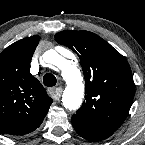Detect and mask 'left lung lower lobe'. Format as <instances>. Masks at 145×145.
<instances>
[{
  "label": "left lung lower lobe",
  "instance_id": "1",
  "mask_svg": "<svg viewBox=\"0 0 145 145\" xmlns=\"http://www.w3.org/2000/svg\"><path fill=\"white\" fill-rule=\"evenodd\" d=\"M72 124L76 132L81 137L89 141H101L110 137L113 134V133L92 128L73 117H72Z\"/></svg>",
  "mask_w": 145,
  "mask_h": 145
}]
</instances>
